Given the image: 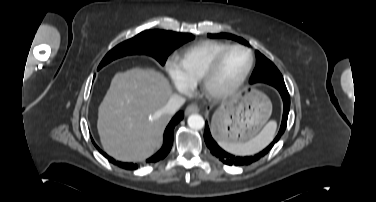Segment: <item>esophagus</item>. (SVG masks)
Wrapping results in <instances>:
<instances>
[{"mask_svg":"<svg viewBox=\"0 0 376 202\" xmlns=\"http://www.w3.org/2000/svg\"><path fill=\"white\" fill-rule=\"evenodd\" d=\"M199 111V108L197 105H194V104H191L189 106H187L186 110H185V114L186 115H190L192 113H196Z\"/></svg>","mask_w":376,"mask_h":202,"instance_id":"esophagus-1","label":"esophagus"}]
</instances>
